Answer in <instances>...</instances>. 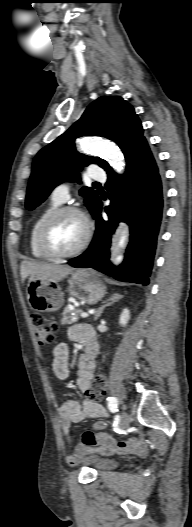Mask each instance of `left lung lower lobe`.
Returning <instances> with one entry per match:
<instances>
[{
	"instance_id": "obj_1",
	"label": "left lung lower lobe",
	"mask_w": 192,
	"mask_h": 527,
	"mask_svg": "<svg viewBox=\"0 0 192 527\" xmlns=\"http://www.w3.org/2000/svg\"><path fill=\"white\" fill-rule=\"evenodd\" d=\"M126 162V172L122 176L108 173L105 186L111 191L108 196L111 203L105 211L109 220L101 217L100 200L94 215L93 241L83 254L69 260V265L92 267L119 281L148 285L162 218V174L147 141L135 147ZM121 221L130 225V243L124 262L114 267L108 261L110 239Z\"/></svg>"
}]
</instances>
